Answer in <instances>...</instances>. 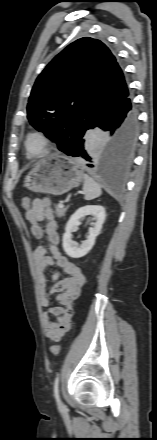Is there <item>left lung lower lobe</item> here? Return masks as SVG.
<instances>
[{
  "label": "left lung lower lobe",
  "mask_w": 157,
  "mask_h": 440,
  "mask_svg": "<svg viewBox=\"0 0 157 440\" xmlns=\"http://www.w3.org/2000/svg\"><path fill=\"white\" fill-rule=\"evenodd\" d=\"M91 129L102 131L105 141L93 150L82 137L65 154L78 157L95 172L120 178L132 161V150L138 135V113L130 92L121 100L106 107Z\"/></svg>",
  "instance_id": "1"
}]
</instances>
